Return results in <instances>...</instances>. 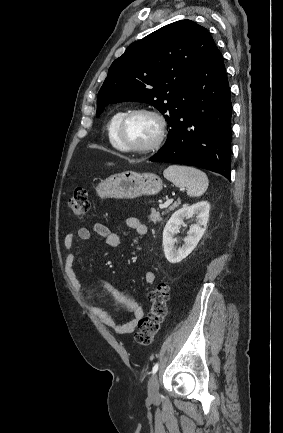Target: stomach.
<instances>
[{"label": "stomach", "mask_w": 283, "mask_h": 433, "mask_svg": "<svg viewBox=\"0 0 283 433\" xmlns=\"http://www.w3.org/2000/svg\"><path fill=\"white\" fill-rule=\"evenodd\" d=\"M163 182L153 172H119L98 182L96 192L101 198H136L142 194H158Z\"/></svg>", "instance_id": "0dacf381"}]
</instances>
